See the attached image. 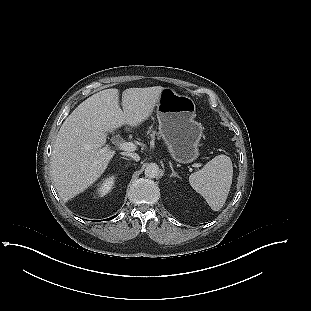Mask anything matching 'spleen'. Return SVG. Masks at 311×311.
Masks as SVG:
<instances>
[{"label": "spleen", "instance_id": "3e777b00", "mask_svg": "<svg viewBox=\"0 0 311 311\" xmlns=\"http://www.w3.org/2000/svg\"><path fill=\"white\" fill-rule=\"evenodd\" d=\"M233 167L230 157L221 154L189 176L191 187L207 201L214 211L226 202L232 184Z\"/></svg>", "mask_w": 311, "mask_h": 311}]
</instances>
